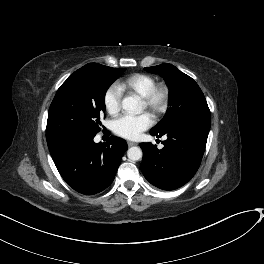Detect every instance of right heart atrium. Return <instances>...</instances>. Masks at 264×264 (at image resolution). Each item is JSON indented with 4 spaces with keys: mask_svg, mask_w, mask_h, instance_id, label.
Here are the masks:
<instances>
[{
    "mask_svg": "<svg viewBox=\"0 0 264 264\" xmlns=\"http://www.w3.org/2000/svg\"><path fill=\"white\" fill-rule=\"evenodd\" d=\"M122 100V91L117 86L109 87L103 98V103L106 111L110 115H116L120 111Z\"/></svg>",
    "mask_w": 264,
    "mask_h": 264,
    "instance_id": "obj_1",
    "label": "right heart atrium"
}]
</instances>
